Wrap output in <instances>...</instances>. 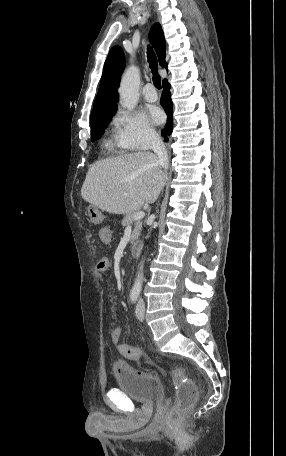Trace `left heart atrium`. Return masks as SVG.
<instances>
[{
	"mask_svg": "<svg viewBox=\"0 0 286 456\" xmlns=\"http://www.w3.org/2000/svg\"><path fill=\"white\" fill-rule=\"evenodd\" d=\"M148 115L152 123L154 124H161L164 121V114L163 112L157 107H149Z\"/></svg>",
	"mask_w": 286,
	"mask_h": 456,
	"instance_id": "39dd6f15",
	"label": "left heart atrium"
}]
</instances>
